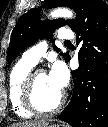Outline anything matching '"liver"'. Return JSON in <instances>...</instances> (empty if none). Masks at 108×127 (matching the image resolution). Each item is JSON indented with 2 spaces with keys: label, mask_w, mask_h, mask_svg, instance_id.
Wrapping results in <instances>:
<instances>
[{
  "label": "liver",
  "mask_w": 108,
  "mask_h": 127,
  "mask_svg": "<svg viewBox=\"0 0 108 127\" xmlns=\"http://www.w3.org/2000/svg\"><path fill=\"white\" fill-rule=\"evenodd\" d=\"M47 124H48V122L45 120L26 121V122L12 124L10 127H46Z\"/></svg>",
  "instance_id": "6515ba94"
}]
</instances>
